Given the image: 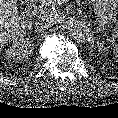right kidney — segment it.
Masks as SVG:
<instances>
[{
    "label": "right kidney",
    "mask_w": 118,
    "mask_h": 118,
    "mask_svg": "<svg viewBox=\"0 0 118 118\" xmlns=\"http://www.w3.org/2000/svg\"><path fill=\"white\" fill-rule=\"evenodd\" d=\"M34 50V44L29 39L20 38L13 41L12 46L6 51L8 59L21 62L27 59Z\"/></svg>",
    "instance_id": "right-kidney-1"
}]
</instances>
